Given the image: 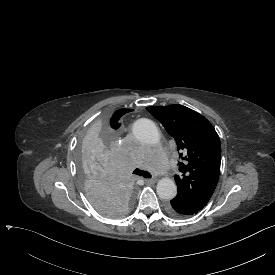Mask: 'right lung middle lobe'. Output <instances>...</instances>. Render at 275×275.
<instances>
[{
  "mask_svg": "<svg viewBox=\"0 0 275 275\" xmlns=\"http://www.w3.org/2000/svg\"><path fill=\"white\" fill-rule=\"evenodd\" d=\"M74 165L79 187L98 212L120 218L131 210L133 194L127 188L123 159L102 124L93 123L82 133Z\"/></svg>",
  "mask_w": 275,
  "mask_h": 275,
  "instance_id": "obj_1",
  "label": "right lung middle lobe"
}]
</instances>
